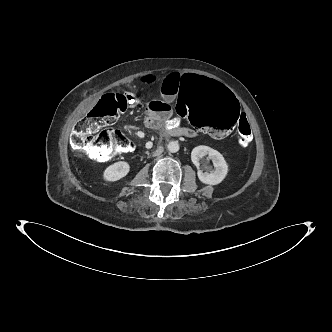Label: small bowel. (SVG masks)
I'll return each mask as SVG.
<instances>
[{"label":"small bowel","mask_w":332,"mask_h":332,"mask_svg":"<svg viewBox=\"0 0 332 332\" xmlns=\"http://www.w3.org/2000/svg\"><path fill=\"white\" fill-rule=\"evenodd\" d=\"M181 79L179 73H169L163 77H157L156 75H146L142 81L144 83L152 84L157 83L160 86L163 97L159 100H153L148 103L146 107L145 125L148 128L160 129L166 125L176 127L178 126L175 118L172 116L170 107L171 99L175 97L176 85ZM131 105L136 104L138 99L132 96ZM241 113V111H240ZM240 119V115H239ZM239 121V120H238ZM185 131V135L188 137L196 136V132L189 128H182ZM139 134V133H138ZM230 135V133L228 134ZM222 137H213L214 139H223Z\"/></svg>","instance_id":"small-bowel-1"}]
</instances>
